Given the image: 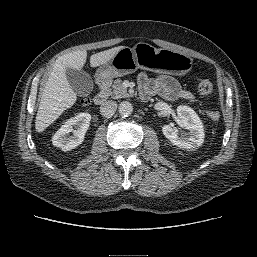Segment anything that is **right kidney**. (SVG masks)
Masks as SVG:
<instances>
[{
	"label": "right kidney",
	"mask_w": 257,
	"mask_h": 257,
	"mask_svg": "<svg viewBox=\"0 0 257 257\" xmlns=\"http://www.w3.org/2000/svg\"><path fill=\"white\" fill-rule=\"evenodd\" d=\"M90 121L91 115L89 113H79L68 119L52 137V144L63 151L76 148L83 142ZM70 132H73V136L69 135Z\"/></svg>",
	"instance_id": "obj_1"
}]
</instances>
